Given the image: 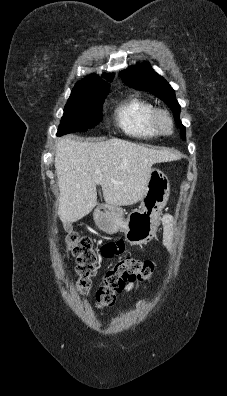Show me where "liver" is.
<instances>
[{
  "label": "liver",
  "mask_w": 227,
  "mask_h": 396,
  "mask_svg": "<svg viewBox=\"0 0 227 396\" xmlns=\"http://www.w3.org/2000/svg\"><path fill=\"white\" fill-rule=\"evenodd\" d=\"M167 150H155L126 140L79 142L72 136L56 144L55 169L60 190L58 215L73 223L97 205V185L107 204L128 206L141 200L153 164L173 161Z\"/></svg>",
  "instance_id": "6515ba94"
}]
</instances>
